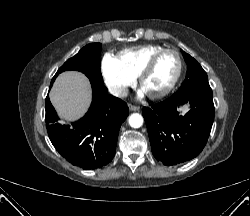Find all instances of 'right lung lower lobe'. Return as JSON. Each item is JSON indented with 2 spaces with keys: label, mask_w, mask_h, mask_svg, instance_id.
Instances as JSON below:
<instances>
[{
  "label": "right lung lower lobe",
  "mask_w": 250,
  "mask_h": 216,
  "mask_svg": "<svg viewBox=\"0 0 250 216\" xmlns=\"http://www.w3.org/2000/svg\"><path fill=\"white\" fill-rule=\"evenodd\" d=\"M91 86L93 99L89 111L71 127L57 123L56 111L46 98V125L53 146L71 164L83 169L101 168L113 159L119 129L129 115L127 104L108 95L104 84Z\"/></svg>",
  "instance_id": "obj_1"
}]
</instances>
